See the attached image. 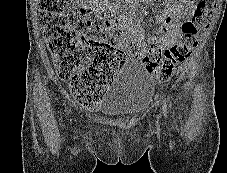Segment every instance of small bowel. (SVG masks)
I'll return each mask as SVG.
<instances>
[{
  "instance_id": "small-bowel-1",
  "label": "small bowel",
  "mask_w": 227,
  "mask_h": 173,
  "mask_svg": "<svg viewBox=\"0 0 227 173\" xmlns=\"http://www.w3.org/2000/svg\"><path fill=\"white\" fill-rule=\"evenodd\" d=\"M167 8L158 15L157 20L161 25V36L151 37L149 43L158 44L162 47H169L175 43L180 35L181 21L187 19L194 11L198 0H161ZM99 3V2H98ZM98 5V4H96ZM122 40L117 50L124 56L138 58L129 52V46L132 42H138L145 50L144 30L138 23H134L127 16L121 20Z\"/></svg>"
}]
</instances>
